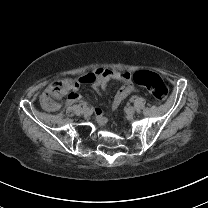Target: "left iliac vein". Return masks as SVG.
Returning a JSON list of instances; mask_svg holds the SVG:
<instances>
[{
	"label": "left iliac vein",
	"instance_id": "left-iliac-vein-1",
	"mask_svg": "<svg viewBox=\"0 0 208 208\" xmlns=\"http://www.w3.org/2000/svg\"><path fill=\"white\" fill-rule=\"evenodd\" d=\"M125 112L127 115L132 116L135 113V108L132 106H127Z\"/></svg>",
	"mask_w": 208,
	"mask_h": 208
}]
</instances>
